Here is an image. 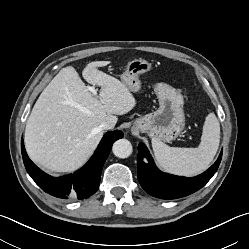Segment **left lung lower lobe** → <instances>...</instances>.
Segmentation results:
<instances>
[{
  "label": "left lung lower lobe",
  "mask_w": 249,
  "mask_h": 249,
  "mask_svg": "<svg viewBox=\"0 0 249 249\" xmlns=\"http://www.w3.org/2000/svg\"><path fill=\"white\" fill-rule=\"evenodd\" d=\"M138 151L140 185L148 194L161 199L181 198L202 188L215 174L222 158L221 151L217 161L207 171L196 177L186 178L159 171L143 143L139 144Z\"/></svg>",
  "instance_id": "left-lung-lower-lobe-1"
}]
</instances>
